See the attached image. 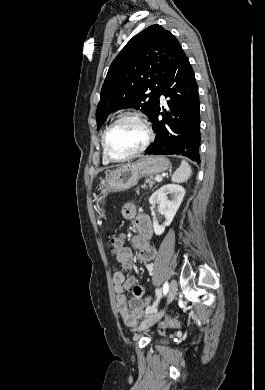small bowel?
Listing matches in <instances>:
<instances>
[{"instance_id":"obj_1","label":"small bowel","mask_w":265,"mask_h":390,"mask_svg":"<svg viewBox=\"0 0 265 390\" xmlns=\"http://www.w3.org/2000/svg\"><path fill=\"white\" fill-rule=\"evenodd\" d=\"M122 214L126 219L134 221L137 233L132 237V244L137 249V259L144 263H149L155 256V249L149 240L152 236L151 221L147 215L140 212L132 203H126L122 208ZM118 237V248L115 250L117 262L122 266V270L114 273L113 282L116 292V304L120 317L125 324L134 326L142 317L145 311L144 297L146 288L138 283L133 277L128 275L132 268L135 256L130 248L124 246L125 236ZM132 290V298L127 300L125 291Z\"/></svg>"}]
</instances>
